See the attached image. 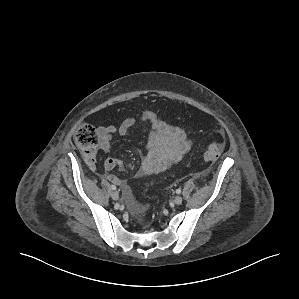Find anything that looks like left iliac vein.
I'll return each instance as SVG.
<instances>
[{
    "instance_id": "4c4485c4",
    "label": "left iliac vein",
    "mask_w": 299,
    "mask_h": 299,
    "mask_svg": "<svg viewBox=\"0 0 299 299\" xmlns=\"http://www.w3.org/2000/svg\"><path fill=\"white\" fill-rule=\"evenodd\" d=\"M182 201H183V198L179 195L174 198V203L176 205H180L182 203Z\"/></svg>"
}]
</instances>
